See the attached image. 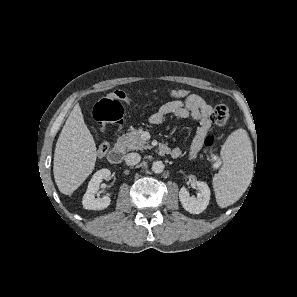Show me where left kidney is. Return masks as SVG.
<instances>
[{"label": "left kidney", "instance_id": "obj_1", "mask_svg": "<svg viewBox=\"0 0 297 297\" xmlns=\"http://www.w3.org/2000/svg\"><path fill=\"white\" fill-rule=\"evenodd\" d=\"M193 179L192 182L199 190L198 196L190 197L185 187H182L179 191V199L183 208L191 214H199L206 209L210 200V189L205 182L195 181L193 176L189 177Z\"/></svg>", "mask_w": 297, "mask_h": 297}]
</instances>
